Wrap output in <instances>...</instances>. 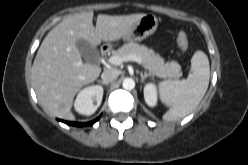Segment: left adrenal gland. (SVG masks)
Listing matches in <instances>:
<instances>
[{
  "instance_id": "obj_1",
  "label": "left adrenal gland",
  "mask_w": 248,
  "mask_h": 165,
  "mask_svg": "<svg viewBox=\"0 0 248 165\" xmlns=\"http://www.w3.org/2000/svg\"><path fill=\"white\" fill-rule=\"evenodd\" d=\"M151 76H153L151 73H147V72H145L144 74L140 73V77H141L142 82L144 81V79H146L147 77H151Z\"/></svg>"
}]
</instances>
